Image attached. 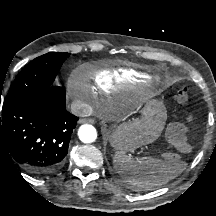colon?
Returning <instances> with one entry per match:
<instances>
[{"label": "colon", "mask_w": 216, "mask_h": 216, "mask_svg": "<svg viewBox=\"0 0 216 216\" xmlns=\"http://www.w3.org/2000/svg\"><path fill=\"white\" fill-rule=\"evenodd\" d=\"M174 99L179 104H186L190 99V91L187 87L178 89L174 95Z\"/></svg>", "instance_id": "5ec220e1"}]
</instances>
